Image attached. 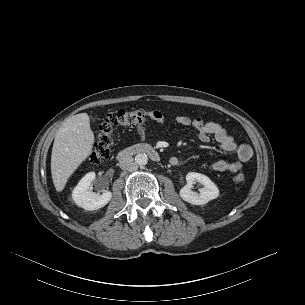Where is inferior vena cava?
Listing matches in <instances>:
<instances>
[{
    "mask_svg": "<svg viewBox=\"0 0 305 305\" xmlns=\"http://www.w3.org/2000/svg\"><path fill=\"white\" fill-rule=\"evenodd\" d=\"M133 157L123 156L119 159V167L123 170H128L133 166Z\"/></svg>",
    "mask_w": 305,
    "mask_h": 305,
    "instance_id": "obj_1",
    "label": "inferior vena cava"
}]
</instances>
